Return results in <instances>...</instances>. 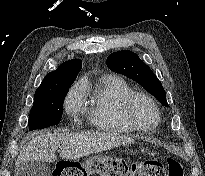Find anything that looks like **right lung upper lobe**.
Returning <instances> with one entry per match:
<instances>
[{
    "label": "right lung upper lobe",
    "instance_id": "cb5924a9",
    "mask_svg": "<svg viewBox=\"0 0 205 176\" xmlns=\"http://www.w3.org/2000/svg\"><path fill=\"white\" fill-rule=\"evenodd\" d=\"M82 68L79 59L62 63L55 71L48 73L35 92V96L57 91L62 87H70Z\"/></svg>",
    "mask_w": 205,
    "mask_h": 176
}]
</instances>
